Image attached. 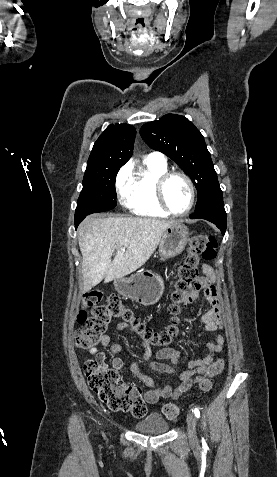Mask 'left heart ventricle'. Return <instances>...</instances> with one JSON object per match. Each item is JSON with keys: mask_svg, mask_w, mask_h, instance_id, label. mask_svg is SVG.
I'll list each match as a JSON object with an SVG mask.
<instances>
[{"mask_svg": "<svg viewBox=\"0 0 277 477\" xmlns=\"http://www.w3.org/2000/svg\"><path fill=\"white\" fill-rule=\"evenodd\" d=\"M165 193L167 202L173 211L182 212L188 207L190 190L182 177H172L166 185Z\"/></svg>", "mask_w": 277, "mask_h": 477, "instance_id": "obj_1", "label": "left heart ventricle"}]
</instances>
